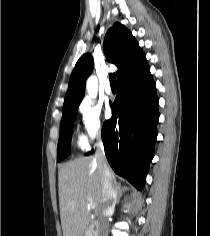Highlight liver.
<instances>
[{"label": "liver", "instance_id": "obj_1", "mask_svg": "<svg viewBox=\"0 0 210 236\" xmlns=\"http://www.w3.org/2000/svg\"><path fill=\"white\" fill-rule=\"evenodd\" d=\"M58 188L63 236H82L89 222L88 203L92 202L96 211L102 205V176L95 157L64 164L59 169Z\"/></svg>", "mask_w": 210, "mask_h": 236}]
</instances>
